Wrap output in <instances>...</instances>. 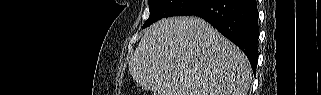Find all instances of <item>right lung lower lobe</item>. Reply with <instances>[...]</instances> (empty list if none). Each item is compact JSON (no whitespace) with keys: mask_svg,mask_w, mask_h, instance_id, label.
I'll use <instances>...</instances> for the list:
<instances>
[{"mask_svg":"<svg viewBox=\"0 0 321 95\" xmlns=\"http://www.w3.org/2000/svg\"><path fill=\"white\" fill-rule=\"evenodd\" d=\"M191 15L208 21L248 57L253 72L258 61L259 38L256 0H208Z\"/></svg>","mask_w":321,"mask_h":95,"instance_id":"98d812e1","label":"right lung lower lobe"}]
</instances>
